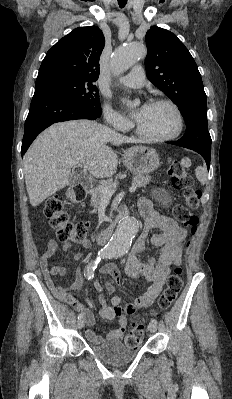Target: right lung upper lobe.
<instances>
[{
  "instance_id": "1",
  "label": "right lung upper lobe",
  "mask_w": 232,
  "mask_h": 399,
  "mask_svg": "<svg viewBox=\"0 0 232 399\" xmlns=\"http://www.w3.org/2000/svg\"><path fill=\"white\" fill-rule=\"evenodd\" d=\"M104 46L105 38L98 27L74 29L47 52L36 82L56 77L95 82L99 77V59Z\"/></svg>"
}]
</instances>
